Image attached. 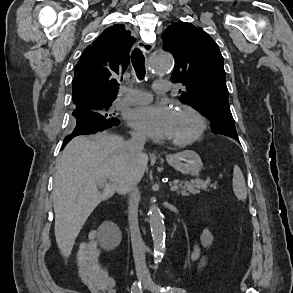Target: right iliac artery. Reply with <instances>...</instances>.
Returning <instances> with one entry per match:
<instances>
[{
    "mask_svg": "<svg viewBox=\"0 0 293 293\" xmlns=\"http://www.w3.org/2000/svg\"><path fill=\"white\" fill-rule=\"evenodd\" d=\"M143 289L140 282H134L131 288V293H142Z\"/></svg>",
    "mask_w": 293,
    "mask_h": 293,
    "instance_id": "right-iliac-artery-1",
    "label": "right iliac artery"
}]
</instances>
